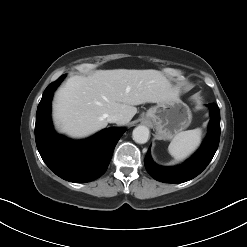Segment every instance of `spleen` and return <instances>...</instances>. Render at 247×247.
Masks as SVG:
<instances>
[{"label":"spleen","instance_id":"1","mask_svg":"<svg viewBox=\"0 0 247 247\" xmlns=\"http://www.w3.org/2000/svg\"><path fill=\"white\" fill-rule=\"evenodd\" d=\"M201 136L200 128L179 132L172 139L168 151L176 160H183L197 149Z\"/></svg>","mask_w":247,"mask_h":247}]
</instances>
